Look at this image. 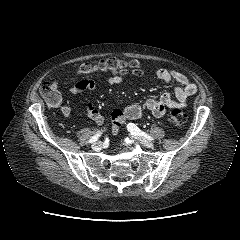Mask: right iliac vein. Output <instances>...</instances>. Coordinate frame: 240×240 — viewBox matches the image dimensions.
Masks as SVG:
<instances>
[{"label": "right iliac vein", "mask_w": 240, "mask_h": 240, "mask_svg": "<svg viewBox=\"0 0 240 240\" xmlns=\"http://www.w3.org/2000/svg\"><path fill=\"white\" fill-rule=\"evenodd\" d=\"M101 146H102L101 142H95V143L92 144V148H93L94 150L100 149Z\"/></svg>", "instance_id": "1"}]
</instances>
